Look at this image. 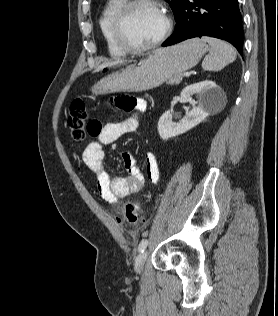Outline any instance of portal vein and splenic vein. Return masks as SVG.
Listing matches in <instances>:
<instances>
[{
  "instance_id": "1",
  "label": "portal vein and splenic vein",
  "mask_w": 278,
  "mask_h": 316,
  "mask_svg": "<svg viewBox=\"0 0 278 316\" xmlns=\"http://www.w3.org/2000/svg\"><path fill=\"white\" fill-rule=\"evenodd\" d=\"M190 75H191V72H185V73H184V76H185V77H189Z\"/></svg>"
}]
</instances>
